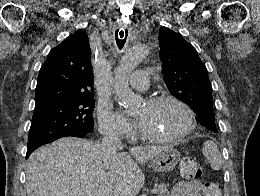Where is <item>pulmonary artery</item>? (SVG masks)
<instances>
[{
	"label": "pulmonary artery",
	"mask_w": 260,
	"mask_h": 196,
	"mask_svg": "<svg viewBox=\"0 0 260 196\" xmlns=\"http://www.w3.org/2000/svg\"><path fill=\"white\" fill-rule=\"evenodd\" d=\"M148 74H150V69H137L135 79H125L124 83L132 84L128 85V90H146L148 85L145 83L150 80Z\"/></svg>",
	"instance_id": "1"
}]
</instances>
